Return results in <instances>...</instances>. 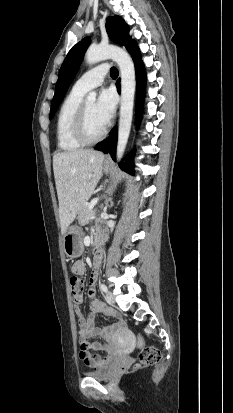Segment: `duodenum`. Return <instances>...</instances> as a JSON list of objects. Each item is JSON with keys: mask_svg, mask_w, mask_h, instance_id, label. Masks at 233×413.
<instances>
[{"mask_svg": "<svg viewBox=\"0 0 233 413\" xmlns=\"http://www.w3.org/2000/svg\"><path fill=\"white\" fill-rule=\"evenodd\" d=\"M104 242V235L99 233L96 235L93 245L95 249L94 268L98 269L102 265V251L101 246Z\"/></svg>", "mask_w": 233, "mask_h": 413, "instance_id": "obj_1", "label": "duodenum"}]
</instances>
